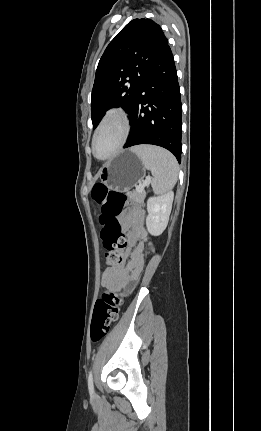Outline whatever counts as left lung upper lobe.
<instances>
[{
  "label": "left lung upper lobe",
  "instance_id": "left-lung-upper-lobe-1",
  "mask_svg": "<svg viewBox=\"0 0 261 431\" xmlns=\"http://www.w3.org/2000/svg\"><path fill=\"white\" fill-rule=\"evenodd\" d=\"M167 46L161 27L151 19H134L118 33L96 70L91 95L93 127L112 107L122 106L131 113L148 70Z\"/></svg>",
  "mask_w": 261,
  "mask_h": 431
}]
</instances>
